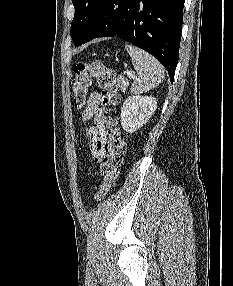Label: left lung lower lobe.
I'll return each instance as SVG.
<instances>
[{
  "label": "left lung lower lobe",
  "instance_id": "0a47b994",
  "mask_svg": "<svg viewBox=\"0 0 233 286\" xmlns=\"http://www.w3.org/2000/svg\"><path fill=\"white\" fill-rule=\"evenodd\" d=\"M185 0H103L75 41L118 36L157 58L171 83L178 62Z\"/></svg>",
  "mask_w": 233,
  "mask_h": 286
}]
</instances>
